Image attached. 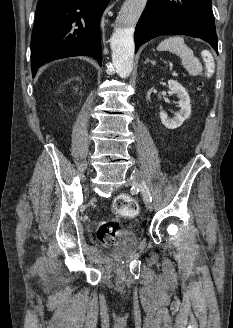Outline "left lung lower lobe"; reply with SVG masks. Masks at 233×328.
I'll list each match as a JSON object with an SVG mask.
<instances>
[{
	"label": "left lung lower lobe",
	"mask_w": 233,
	"mask_h": 328,
	"mask_svg": "<svg viewBox=\"0 0 233 328\" xmlns=\"http://www.w3.org/2000/svg\"><path fill=\"white\" fill-rule=\"evenodd\" d=\"M188 35L218 42L211 0H148L135 30V52L144 42L163 34Z\"/></svg>",
	"instance_id": "1"
}]
</instances>
